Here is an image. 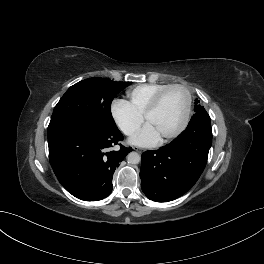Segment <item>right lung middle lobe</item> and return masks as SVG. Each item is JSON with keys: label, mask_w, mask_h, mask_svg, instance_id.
Listing matches in <instances>:
<instances>
[{"label": "right lung middle lobe", "mask_w": 264, "mask_h": 264, "mask_svg": "<svg viewBox=\"0 0 264 264\" xmlns=\"http://www.w3.org/2000/svg\"><path fill=\"white\" fill-rule=\"evenodd\" d=\"M128 85L98 77L74 84L55 106L47 137L74 127L116 126L111 102Z\"/></svg>", "instance_id": "dd1d6c3e"}]
</instances>
